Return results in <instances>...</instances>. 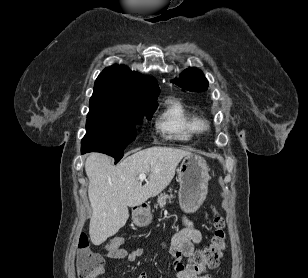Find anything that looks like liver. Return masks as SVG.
<instances>
[{
  "instance_id": "obj_1",
  "label": "liver",
  "mask_w": 308,
  "mask_h": 278,
  "mask_svg": "<svg viewBox=\"0 0 308 278\" xmlns=\"http://www.w3.org/2000/svg\"><path fill=\"white\" fill-rule=\"evenodd\" d=\"M190 154L186 150L155 146L135 152L114 166L111 157L91 153L85 171L92 207V243L100 245L115 235L129 218L128 207L141 205L162 192L173 179L181 159ZM140 173L148 174L145 185L139 181Z\"/></svg>"
}]
</instances>
